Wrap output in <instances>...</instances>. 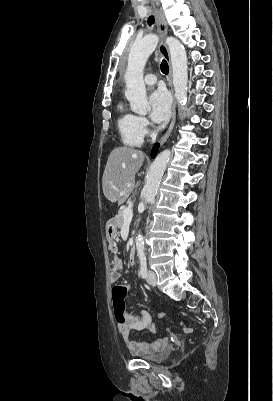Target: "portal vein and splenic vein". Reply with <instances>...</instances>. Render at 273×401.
<instances>
[{
    "label": "portal vein and splenic vein",
    "instance_id": "portal-vein-and-splenic-vein-1",
    "mask_svg": "<svg viewBox=\"0 0 273 401\" xmlns=\"http://www.w3.org/2000/svg\"><path fill=\"white\" fill-rule=\"evenodd\" d=\"M120 194L122 196V194H124V190H121ZM123 217H124V221H131V219L133 217V211H132L131 207H126V209H124Z\"/></svg>",
    "mask_w": 273,
    "mask_h": 401
}]
</instances>
